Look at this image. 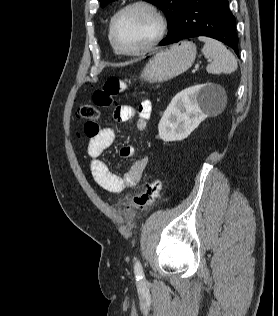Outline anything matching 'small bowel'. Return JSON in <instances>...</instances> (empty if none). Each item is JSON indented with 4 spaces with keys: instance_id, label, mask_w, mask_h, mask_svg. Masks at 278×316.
<instances>
[{
    "instance_id": "1",
    "label": "small bowel",
    "mask_w": 278,
    "mask_h": 316,
    "mask_svg": "<svg viewBox=\"0 0 278 316\" xmlns=\"http://www.w3.org/2000/svg\"><path fill=\"white\" fill-rule=\"evenodd\" d=\"M151 113V102L145 99L138 104L137 108L130 105L117 106L114 109L113 118L117 122H126L136 118L138 131L143 132L147 128ZM114 140L113 128H100L95 135L89 136L87 155L90 158V171L95 182L108 192L121 193L127 188L135 187L140 182L147 159L145 157L136 159L122 176L113 173L100 157ZM120 155L124 158H132L135 155V149L132 146H124L120 150Z\"/></svg>"
}]
</instances>
